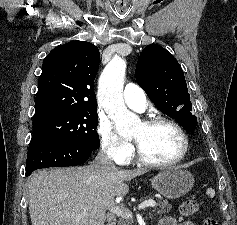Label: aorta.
Wrapping results in <instances>:
<instances>
[{"label":"aorta","instance_id":"1","mask_svg":"<svg viewBox=\"0 0 237 225\" xmlns=\"http://www.w3.org/2000/svg\"><path fill=\"white\" fill-rule=\"evenodd\" d=\"M125 71L126 61L115 56L104 68L98 84L99 103L114 122L120 135L132 132L139 122V118L131 113L124 104Z\"/></svg>","mask_w":237,"mask_h":225}]
</instances>
